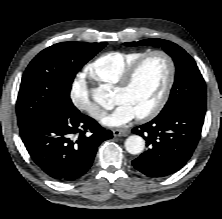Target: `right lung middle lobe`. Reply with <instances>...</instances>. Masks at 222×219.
<instances>
[{"label": "right lung middle lobe", "instance_id": "right-lung-middle-lobe-1", "mask_svg": "<svg viewBox=\"0 0 222 219\" xmlns=\"http://www.w3.org/2000/svg\"><path fill=\"white\" fill-rule=\"evenodd\" d=\"M105 46L106 42H63L41 51L22 77L16 104L19 128L57 107L74 106L70 90L76 73Z\"/></svg>", "mask_w": 222, "mask_h": 219}]
</instances>
